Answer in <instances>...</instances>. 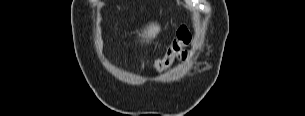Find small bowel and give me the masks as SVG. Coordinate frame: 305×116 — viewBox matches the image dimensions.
I'll return each mask as SVG.
<instances>
[{
  "instance_id": "small-bowel-1",
  "label": "small bowel",
  "mask_w": 305,
  "mask_h": 116,
  "mask_svg": "<svg viewBox=\"0 0 305 116\" xmlns=\"http://www.w3.org/2000/svg\"><path fill=\"white\" fill-rule=\"evenodd\" d=\"M182 59H185L187 57V53H184L183 56H181Z\"/></svg>"
}]
</instances>
